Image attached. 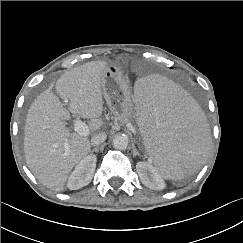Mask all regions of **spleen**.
<instances>
[{"label":"spleen","instance_id":"obj_1","mask_svg":"<svg viewBox=\"0 0 243 243\" xmlns=\"http://www.w3.org/2000/svg\"><path fill=\"white\" fill-rule=\"evenodd\" d=\"M132 106L139 141L161 177L180 180L205 158V111L169 77H139Z\"/></svg>","mask_w":243,"mask_h":243}]
</instances>
